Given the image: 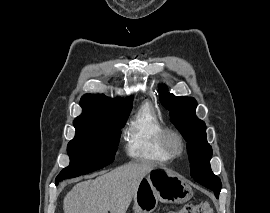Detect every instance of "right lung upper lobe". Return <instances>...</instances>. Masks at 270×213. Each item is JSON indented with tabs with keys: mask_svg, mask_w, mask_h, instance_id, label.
I'll return each mask as SVG.
<instances>
[{
	"mask_svg": "<svg viewBox=\"0 0 270 213\" xmlns=\"http://www.w3.org/2000/svg\"><path fill=\"white\" fill-rule=\"evenodd\" d=\"M83 112L75 119L79 121L110 120L130 112L131 99H110L105 95L86 94L80 101Z\"/></svg>",
	"mask_w": 270,
	"mask_h": 213,
	"instance_id": "cb5924a9",
	"label": "right lung upper lobe"
}]
</instances>
